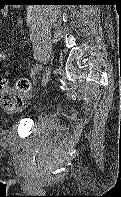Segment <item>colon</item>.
<instances>
[{
    "label": "colon",
    "instance_id": "1",
    "mask_svg": "<svg viewBox=\"0 0 121 197\" xmlns=\"http://www.w3.org/2000/svg\"><path fill=\"white\" fill-rule=\"evenodd\" d=\"M30 90L31 83L26 79L19 80L16 89H13L6 79L0 76V111L9 115L18 112Z\"/></svg>",
    "mask_w": 121,
    "mask_h": 197
}]
</instances>
